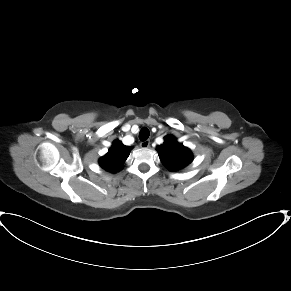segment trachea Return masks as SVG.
<instances>
[{
    "mask_svg": "<svg viewBox=\"0 0 291 291\" xmlns=\"http://www.w3.org/2000/svg\"><path fill=\"white\" fill-rule=\"evenodd\" d=\"M149 135H150L149 130L146 127H144L139 132V139L141 141H145L149 138Z\"/></svg>",
    "mask_w": 291,
    "mask_h": 291,
    "instance_id": "obj_1",
    "label": "trachea"
}]
</instances>
